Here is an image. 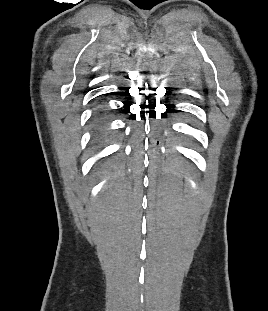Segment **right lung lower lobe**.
<instances>
[{
    "label": "right lung lower lobe",
    "mask_w": 268,
    "mask_h": 311,
    "mask_svg": "<svg viewBox=\"0 0 268 311\" xmlns=\"http://www.w3.org/2000/svg\"><path fill=\"white\" fill-rule=\"evenodd\" d=\"M107 123H108L107 111L103 109L97 110L92 120L94 130L97 133H103L106 130Z\"/></svg>",
    "instance_id": "right-lung-lower-lobe-1"
}]
</instances>
